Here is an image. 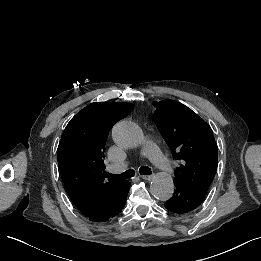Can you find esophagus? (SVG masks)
I'll list each match as a JSON object with an SVG mask.
<instances>
[{
    "instance_id": "1",
    "label": "esophagus",
    "mask_w": 261,
    "mask_h": 261,
    "mask_svg": "<svg viewBox=\"0 0 261 261\" xmlns=\"http://www.w3.org/2000/svg\"><path fill=\"white\" fill-rule=\"evenodd\" d=\"M141 178L151 181L154 178V176L153 175H142Z\"/></svg>"
}]
</instances>
